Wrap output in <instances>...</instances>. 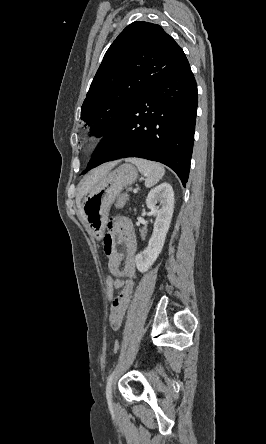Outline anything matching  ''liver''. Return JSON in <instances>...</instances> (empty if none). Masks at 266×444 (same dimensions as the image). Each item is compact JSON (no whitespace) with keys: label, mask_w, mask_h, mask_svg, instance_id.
<instances>
[{"label":"liver","mask_w":266,"mask_h":444,"mask_svg":"<svg viewBox=\"0 0 266 444\" xmlns=\"http://www.w3.org/2000/svg\"><path fill=\"white\" fill-rule=\"evenodd\" d=\"M116 162H110L103 164L99 168L92 171L89 175H87L80 183L79 192L76 197V204L81 213V204L80 201L84 195H86L97 183L98 181L105 176L114 166Z\"/></svg>","instance_id":"1"}]
</instances>
